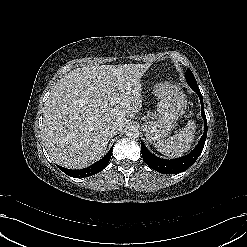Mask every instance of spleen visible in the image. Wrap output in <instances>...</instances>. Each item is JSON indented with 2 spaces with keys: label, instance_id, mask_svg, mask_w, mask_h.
<instances>
[{
  "label": "spleen",
  "instance_id": "3e777b00",
  "mask_svg": "<svg viewBox=\"0 0 247 247\" xmlns=\"http://www.w3.org/2000/svg\"><path fill=\"white\" fill-rule=\"evenodd\" d=\"M195 136V123L188 121L187 125L177 134L154 143L157 151L165 156L175 158L182 156L191 148Z\"/></svg>",
  "mask_w": 247,
  "mask_h": 247
}]
</instances>
